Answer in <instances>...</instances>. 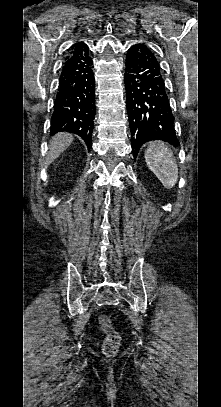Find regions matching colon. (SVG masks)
<instances>
[{"label":"colon","instance_id":"colon-1","mask_svg":"<svg viewBox=\"0 0 221 407\" xmlns=\"http://www.w3.org/2000/svg\"><path fill=\"white\" fill-rule=\"evenodd\" d=\"M99 324L102 331L105 333L103 352L106 357H113L116 354L121 342L120 334L113 327L110 319L106 316L100 317Z\"/></svg>","mask_w":221,"mask_h":407}]
</instances>
